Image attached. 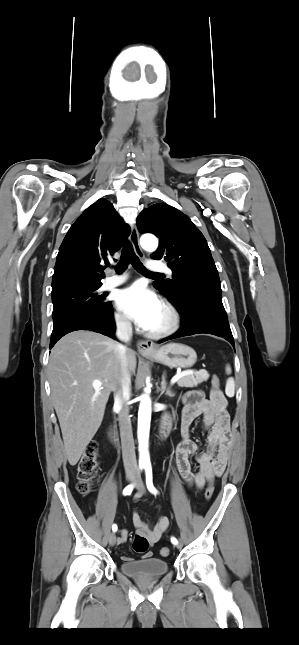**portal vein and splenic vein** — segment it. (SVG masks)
Returning a JSON list of instances; mask_svg holds the SVG:
<instances>
[{"label":"portal vein and splenic vein","mask_w":299,"mask_h":645,"mask_svg":"<svg viewBox=\"0 0 299 645\" xmlns=\"http://www.w3.org/2000/svg\"><path fill=\"white\" fill-rule=\"evenodd\" d=\"M192 373H193V371H185V372H182V373H180V374L175 375V376L171 379V384H174L175 382H177V381H178L180 378H182L183 376H186V375H188V374H192ZM92 385H93V387H94L95 389H99V388L102 386V382H101L100 380H94V381H93V383H92Z\"/></svg>","instance_id":"1"}]
</instances>
